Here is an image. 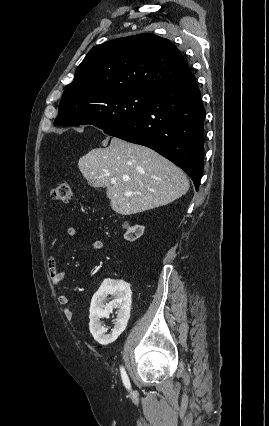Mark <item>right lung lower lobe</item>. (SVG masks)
Wrapping results in <instances>:
<instances>
[{"instance_id": "98d812e1", "label": "right lung lower lobe", "mask_w": 269, "mask_h": 426, "mask_svg": "<svg viewBox=\"0 0 269 426\" xmlns=\"http://www.w3.org/2000/svg\"><path fill=\"white\" fill-rule=\"evenodd\" d=\"M205 109L192 73L152 92L130 121L104 132L147 146L182 168L199 189L203 173Z\"/></svg>"}]
</instances>
